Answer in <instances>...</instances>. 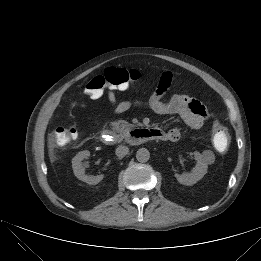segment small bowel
<instances>
[{
  "label": "small bowel",
  "mask_w": 261,
  "mask_h": 261,
  "mask_svg": "<svg viewBox=\"0 0 261 261\" xmlns=\"http://www.w3.org/2000/svg\"><path fill=\"white\" fill-rule=\"evenodd\" d=\"M173 79V74L165 70L159 79L154 93L147 100H123L118 101L117 91H125L131 85L120 87L108 86L106 95L109 105L115 115L122 114L133 107H148L158 115H178L193 129L201 128L208 119V112L204 105L198 100L185 93L174 94L169 101H164L163 97L169 89ZM76 108H85V103H74ZM158 129V128H157ZM160 132L159 140L175 142L179 140L181 132L178 128L170 130L158 129Z\"/></svg>",
  "instance_id": "obj_1"
}]
</instances>
